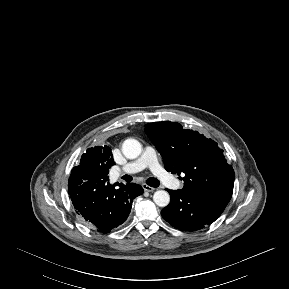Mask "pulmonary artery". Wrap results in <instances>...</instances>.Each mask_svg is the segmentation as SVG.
Segmentation results:
<instances>
[{
    "instance_id": "obj_1",
    "label": "pulmonary artery",
    "mask_w": 289,
    "mask_h": 289,
    "mask_svg": "<svg viewBox=\"0 0 289 289\" xmlns=\"http://www.w3.org/2000/svg\"><path fill=\"white\" fill-rule=\"evenodd\" d=\"M145 168H149L155 176L161 179L165 184H169L170 177L159 163L156 151L150 146H147L144 149L142 155L138 159L126 164L121 168L115 169V174L121 172L137 173Z\"/></svg>"
}]
</instances>
